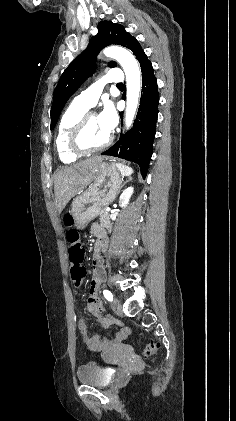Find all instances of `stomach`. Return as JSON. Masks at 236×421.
<instances>
[{"label":"stomach","mask_w":236,"mask_h":421,"mask_svg":"<svg viewBox=\"0 0 236 421\" xmlns=\"http://www.w3.org/2000/svg\"><path fill=\"white\" fill-rule=\"evenodd\" d=\"M90 182L89 188L72 200L70 215L76 229H85L90 221L100 215L104 206L115 200L122 178L115 162L102 160Z\"/></svg>","instance_id":"obj_1"}]
</instances>
